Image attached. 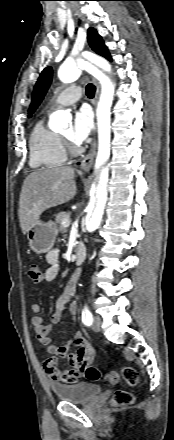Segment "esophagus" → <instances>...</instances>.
Returning a JSON list of instances; mask_svg holds the SVG:
<instances>
[{"instance_id": "1", "label": "esophagus", "mask_w": 174, "mask_h": 440, "mask_svg": "<svg viewBox=\"0 0 174 440\" xmlns=\"http://www.w3.org/2000/svg\"><path fill=\"white\" fill-rule=\"evenodd\" d=\"M99 95H100V85L98 82H96V93H95V99H94V108L95 109L97 107ZM95 130H97V128H95ZM96 151H97V140H96V138H94V140L91 144L90 151L87 153V155L81 161V166H80L81 172L86 173L92 167V165L94 163L95 156H96Z\"/></svg>"}]
</instances>
